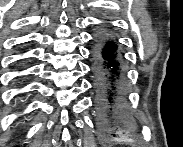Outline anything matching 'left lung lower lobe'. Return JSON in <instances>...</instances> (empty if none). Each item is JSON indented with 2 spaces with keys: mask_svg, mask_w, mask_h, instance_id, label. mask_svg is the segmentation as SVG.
<instances>
[{
  "mask_svg": "<svg viewBox=\"0 0 183 147\" xmlns=\"http://www.w3.org/2000/svg\"><path fill=\"white\" fill-rule=\"evenodd\" d=\"M96 39L93 74L99 131L105 136L129 133L134 126L125 110L124 75L117 45L104 31Z\"/></svg>",
  "mask_w": 183,
  "mask_h": 147,
  "instance_id": "obj_1",
  "label": "left lung lower lobe"
}]
</instances>
